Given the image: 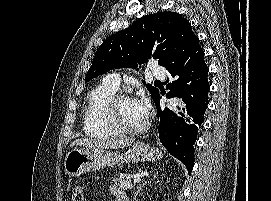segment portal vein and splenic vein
<instances>
[{"instance_id": "1", "label": "portal vein and splenic vein", "mask_w": 271, "mask_h": 201, "mask_svg": "<svg viewBox=\"0 0 271 201\" xmlns=\"http://www.w3.org/2000/svg\"><path fill=\"white\" fill-rule=\"evenodd\" d=\"M133 181H134V183H139L141 181V179L137 177V178H134Z\"/></svg>"}]
</instances>
